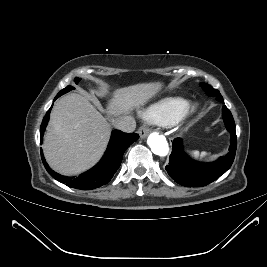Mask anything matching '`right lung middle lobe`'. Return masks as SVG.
I'll return each mask as SVG.
<instances>
[{
	"instance_id": "right-lung-middle-lobe-1",
	"label": "right lung middle lobe",
	"mask_w": 267,
	"mask_h": 267,
	"mask_svg": "<svg viewBox=\"0 0 267 267\" xmlns=\"http://www.w3.org/2000/svg\"><path fill=\"white\" fill-rule=\"evenodd\" d=\"M78 82H79V79L76 78V79H75V83L77 84ZM72 89H74V87H72V86H67L66 88H64L63 90H61L58 94H59V95H63L64 93H67V92H69V91L72 90Z\"/></svg>"
}]
</instances>
